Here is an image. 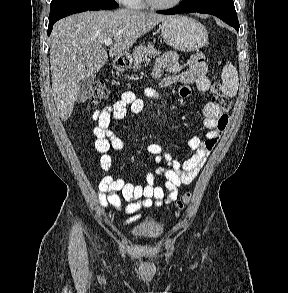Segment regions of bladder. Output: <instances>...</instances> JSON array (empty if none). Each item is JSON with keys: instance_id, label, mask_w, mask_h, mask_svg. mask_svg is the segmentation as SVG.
<instances>
[{"instance_id": "31cf9c89", "label": "bladder", "mask_w": 288, "mask_h": 293, "mask_svg": "<svg viewBox=\"0 0 288 293\" xmlns=\"http://www.w3.org/2000/svg\"><path fill=\"white\" fill-rule=\"evenodd\" d=\"M131 233L138 239L154 240L162 235L163 227L157 221L149 220L135 226Z\"/></svg>"}]
</instances>
